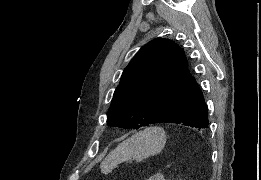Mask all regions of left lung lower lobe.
Wrapping results in <instances>:
<instances>
[{"mask_svg": "<svg viewBox=\"0 0 261 180\" xmlns=\"http://www.w3.org/2000/svg\"><path fill=\"white\" fill-rule=\"evenodd\" d=\"M161 122L183 124L198 129L208 127V108L200 86L191 76L151 124Z\"/></svg>", "mask_w": 261, "mask_h": 180, "instance_id": "left-lung-lower-lobe-1", "label": "left lung lower lobe"}]
</instances>
